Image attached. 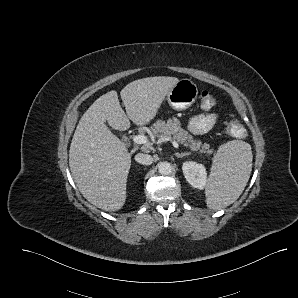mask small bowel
I'll return each mask as SVG.
<instances>
[{
    "instance_id": "small-bowel-1",
    "label": "small bowel",
    "mask_w": 298,
    "mask_h": 298,
    "mask_svg": "<svg viewBox=\"0 0 298 298\" xmlns=\"http://www.w3.org/2000/svg\"><path fill=\"white\" fill-rule=\"evenodd\" d=\"M218 120L216 113L200 114L190 119L188 130L194 134H204L208 132Z\"/></svg>"
}]
</instances>
